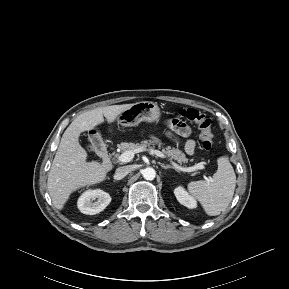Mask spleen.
<instances>
[{"label": "spleen", "mask_w": 289, "mask_h": 289, "mask_svg": "<svg viewBox=\"0 0 289 289\" xmlns=\"http://www.w3.org/2000/svg\"><path fill=\"white\" fill-rule=\"evenodd\" d=\"M217 162L218 169L210 180L192 181L187 185L209 216H217L228 207L236 186V175L229 158L221 156Z\"/></svg>", "instance_id": "spleen-1"}]
</instances>
